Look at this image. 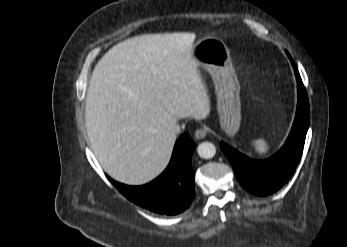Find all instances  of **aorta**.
Returning <instances> with one entry per match:
<instances>
[{
	"label": "aorta",
	"instance_id": "aorta-1",
	"mask_svg": "<svg viewBox=\"0 0 347 247\" xmlns=\"http://www.w3.org/2000/svg\"><path fill=\"white\" fill-rule=\"evenodd\" d=\"M197 153L201 158L211 159L216 154V147L211 142H208V141L202 142L199 144L197 148Z\"/></svg>",
	"mask_w": 347,
	"mask_h": 247
}]
</instances>
